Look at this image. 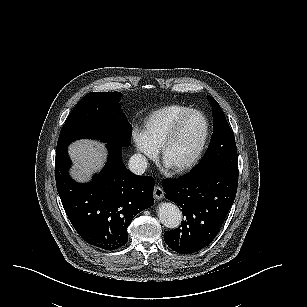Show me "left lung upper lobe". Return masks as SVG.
<instances>
[{
  "label": "left lung upper lobe",
  "mask_w": 307,
  "mask_h": 307,
  "mask_svg": "<svg viewBox=\"0 0 307 307\" xmlns=\"http://www.w3.org/2000/svg\"><path fill=\"white\" fill-rule=\"evenodd\" d=\"M208 99L213 112V134L204 157L193 169L220 166L238 170L235 137L219 104L210 96Z\"/></svg>",
  "instance_id": "5c2ea615"
}]
</instances>
